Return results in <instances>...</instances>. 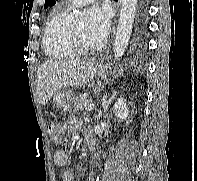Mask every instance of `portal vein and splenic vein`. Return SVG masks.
Listing matches in <instances>:
<instances>
[{
    "label": "portal vein and splenic vein",
    "mask_w": 197,
    "mask_h": 181,
    "mask_svg": "<svg viewBox=\"0 0 197 181\" xmlns=\"http://www.w3.org/2000/svg\"><path fill=\"white\" fill-rule=\"evenodd\" d=\"M93 108H94V104L93 103L88 104V105L85 106V110L86 111H91Z\"/></svg>",
    "instance_id": "obj_1"
}]
</instances>
